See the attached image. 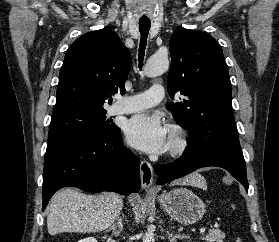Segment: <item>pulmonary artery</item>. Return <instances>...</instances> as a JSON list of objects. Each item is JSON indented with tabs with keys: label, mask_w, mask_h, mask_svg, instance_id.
Instances as JSON below:
<instances>
[{
	"label": "pulmonary artery",
	"mask_w": 279,
	"mask_h": 242,
	"mask_svg": "<svg viewBox=\"0 0 279 242\" xmlns=\"http://www.w3.org/2000/svg\"><path fill=\"white\" fill-rule=\"evenodd\" d=\"M163 98V87L161 85H153L149 90L143 93L120 98L117 103L111 107L110 113L112 115H118L138 112L158 104Z\"/></svg>",
	"instance_id": "obj_1"
}]
</instances>
